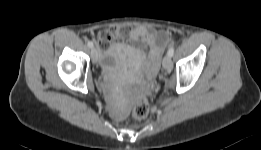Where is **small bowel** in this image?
<instances>
[{
  "instance_id": "small-bowel-1",
  "label": "small bowel",
  "mask_w": 261,
  "mask_h": 150,
  "mask_svg": "<svg viewBox=\"0 0 261 150\" xmlns=\"http://www.w3.org/2000/svg\"><path fill=\"white\" fill-rule=\"evenodd\" d=\"M121 35L119 28H109L98 33V42L102 48H107L112 39ZM129 38L134 42H142L146 45L147 51L141 48H134L126 45L125 49L133 56L136 64L146 62L150 71L155 73L159 66L161 53L168 41V34L159 31L153 26H137L129 31Z\"/></svg>"
}]
</instances>
